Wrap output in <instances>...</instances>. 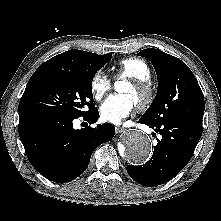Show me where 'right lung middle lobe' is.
Listing matches in <instances>:
<instances>
[{
  "instance_id": "obj_1",
  "label": "right lung middle lobe",
  "mask_w": 221,
  "mask_h": 221,
  "mask_svg": "<svg viewBox=\"0 0 221 221\" xmlns=\"http://www.w3.org/2000/svg\"><path fill=\"white\" fill-rule=\"evenodd\" d=\"M111 54L98 56L86 69L39 67L31 76L19 103V111L35 110L79 118L94 111L91 83ZM88 106L89 110L84 108Z\"/></svg>"
}]
</instances>
